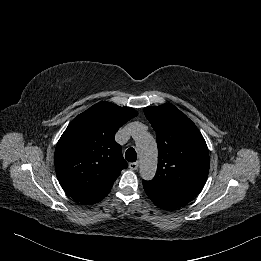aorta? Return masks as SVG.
Segmentation results:
<instances>
[{
	"instance_id": "762f6f07",
	"label": "aorta",
	"mask_w": 261,
	"mask_h": 261,
	"mask_svg": "<svg viewBox=\"0 0 261 261\" xmlns=\"http://www.w3.org/2000/svg\"><path fill=\"white\" fill-rule=\"evenodd\" d=\"M135 143L140 160V175L144 180H151L157 169V145L153 136L140 130L135 134Z\"/></svg>"
}]
</instances>
